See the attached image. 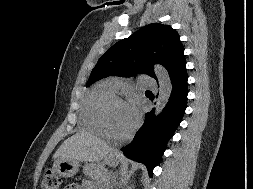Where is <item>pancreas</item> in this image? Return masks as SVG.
<instances>
[{
	"mask_svg": "<svg viewBox=\"0 0 253 189\" xmlns=\"http://www.w3.org/2000/svg\"><path fill=\"white\" fill-rule=\"evenodd\" d=\"M84 173L101 183L105 184L108 181V172L102 166L87 165L84 167Z\"/></svg>",
	"mask_w": 253,
	"mask_h": 189,
	"instance_id": "cf45deb5",
	"label": "pancreas"
}]
</instances>
